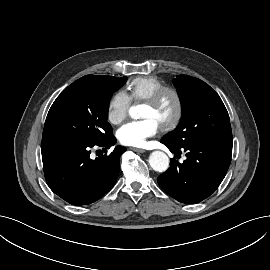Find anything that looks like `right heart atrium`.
<instances>
[{"label": "right heart atrium", "mask_w": 270, "mask_h": 270, "mask_svg": "<svg viewBox=\"0 0 270 270\" xmlns=\"http://www.w3.org/2000/svg\"><path fill=\"white\" fill-rule=\"evenodd\" d=\"M130 106L131 98L126 92L122 90L115 92L107 106L108 121L114 125L120 124L128 116Z\"/></svg>", "instance_id": "obj_1"}]
</instances>
